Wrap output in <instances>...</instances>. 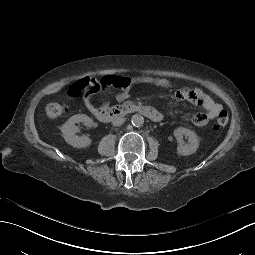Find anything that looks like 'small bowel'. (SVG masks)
Segmentation results:
<instances>
[{"label":"small bowel","mask_w":255,"mask_h":255,"mask_svg":"<svg viewBox=\"0 0 255 255\" xmlns=\"http://www.w3.org/2000/svg\"><path fill=\"white\" fill-rule=\"evenodd\" d=\"M129 84L123 88H120V92L117 94L118 101H124L130 96L131 87L137 84H145L152 87H162L169 88L171 87V82L164 78H156L150 76H139L133 79H128ZM104 91L94 92L99 99L105 103L106 100L103 96ZM69 93V96L74 97L77 94ZM93 93H85L83 96V102L85 106L91 111L94 108L92 102ZM173 101H182L187 100L195 105L202 107L205 112H199L190 117V121L198 126L202 127L208 124L211 120H213L219 112L222 110V106L216 103L208 94H206L200 88H183L177 90L173 97Z\"/></svg>","instance_id":"small-bowel-1"}]
</instances>
